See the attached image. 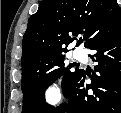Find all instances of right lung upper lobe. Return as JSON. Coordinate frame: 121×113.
I'll return each mask as SVG.
<instances>
[{
  "instance_id": "right-lung-upper-lobe-1",
  "label": "right lung upper lobe",
  "mask_w": 121,
  "mask_h": 113,
  "mask_svg": "<svg viewBox=\"0 0 121 113\" xmlns=\"http://www.w3.org/2000/svg\"><path fill=\"white\" fill-rule=\"evenodd\" d=\"M120 30L121 8L116 0H43L28 21L22 68L43 56L67 51L77 34H84L85 47L90 48Z\"/></svg>"
}]
</instances>
